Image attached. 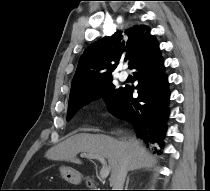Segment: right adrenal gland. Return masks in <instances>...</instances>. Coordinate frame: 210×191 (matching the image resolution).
Segmentation results:
<instances>
[{
    "instance_id": "1",
    "label": "right adrenal gland",
    "mask_w": 210,
    "mask_h": 191,
    "mask_svg": "<svg viewBox=\"0 0 210 191\" xmlns=\"http://www.w3.org/2000/svg\"><path fill=\"white\" fill-rule=\"evenodd\" d=\"M129 180H130V177L128 176L127 180H126V188H125V190H128Z\"/></svg>"
}]
</instances>
